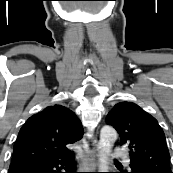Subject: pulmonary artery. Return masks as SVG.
Wrapping results in <instances>:
<instances>
[{
	"label": "pulmonary artery",
	"mask_w": 173,
	"mask_h": 173,
	"mask_svg": "<svg viewBox=\"0 0 173 173\" xmlns=\"http://www.w3.org/2000/svg\"><path fill=\"white\" fill-rule=\"evenodd\" d=\"M113 156L127 158L125 150L123 148H119V147H117L113 150Z\"/></svg>",
	"instance_id": "obj_1"
}]
</instances>
